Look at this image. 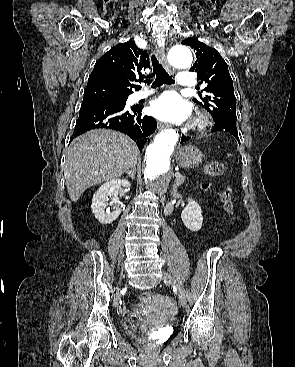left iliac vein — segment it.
I'll list each match as a JSON object with an SVG mask.
<instances>
[{
	"instance_id": "left-iliac-vein-1",
	"label": "left iliac vein",
	"mask_w": 295,
	"mask_h": 367,
	"mask_svg": "<svg viewBox=\"0 0 295 367\" xmlns=\"http://www.w3.org/2000/svg\"><path fill=\"white\" fill-rule=\"evenodd\" d=\"M162 278L165 282L170 283L177 291L179 302L182 306L186 305V296L181 284L168 272L164 271Z\"/></svg>"
}]
</instances>
